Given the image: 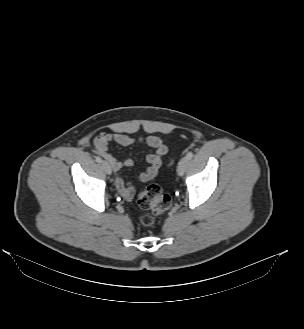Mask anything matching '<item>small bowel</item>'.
I'll return each mask as SVG.
<instances>
[{
	"label": "small bowel",
	"mask_w": 304,
	"mask_h": 329,
	"mask_svg": "<svg viewBox=\"0 0 304 329\" xmlns=\"http://www.w3.org/2000/svg\"><path fill=\"white\" fill-rule=\"evenodd\" d=\"M111 142H115L121 146H129L134 143H145L155 149L154 153L147 156V162L149 164L147 170L137 175V180L141 182L149 181L156 176L158 169L162 164V158L167 154L168 148L160 137L154 135L135 138L124 133H102L94 137V149L113 169L115 185L118 191L124 198L130 199L133 196L134 188L124 179L122 170L133 166V160L130 157L118 160L108 149V145Z\"/></svg>",
	"instance_id": "c3829d8e"
}]
</instances>
